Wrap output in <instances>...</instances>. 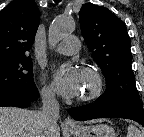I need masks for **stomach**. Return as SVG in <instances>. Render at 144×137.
Returning <instances> with one entry per match:
<instances>
[{
  "mask_svg": "<svg viewBox=\"0 0 144 137\" xmlns=\"http://www.w3.org/2000/svg\"><path fill=\"white\" fill-rule=\"evenodd\" d=\"M71 133L74 137H116L114 129L107 124H96L90 126H81L72 129Z\"/></svg>",
  "mask_w": 144,
  "mask_h": 137,
  "instance_id": "0dacf381",
  "label": "stomach"
}]
</instances>
